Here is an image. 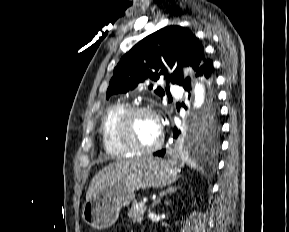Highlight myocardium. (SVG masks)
<instances>
[{"label":"myocardium","instance_id":"myocardium-1","mask_svg":"<svg viewBox=\"0 0 289 232\" xmlns=\"http://www.w3.org/2000/svg\"><path fill=\"white\" fill-rule=\"evenodd\" d=\"M138 114H147L156 119L160 127V137L158 141L148 147L139 145L132 137L130 124L134 116ZM116 136L119 142L128 150L138 154H150L157 151L163 144V133L160 118L157 112L147 106L135 105L126 107L119 115L116 123Z\"/></svg>","mask_w":289,"mask_h":232}]
</instances>
